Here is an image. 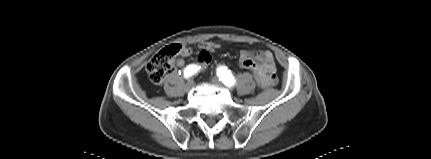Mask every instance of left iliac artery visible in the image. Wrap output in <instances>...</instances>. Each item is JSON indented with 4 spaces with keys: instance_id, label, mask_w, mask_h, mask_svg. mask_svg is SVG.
<instances>
[{
    "instance_id": "44dca946",
    "label": "left iliac artery",
    "mask_w": 431,
    "mask_h": 159,
    "mask_svg": "<svg viewBox=\"0 0 431 159\" xmlns=\"http://www.w3.org/2000/svg\"><path fill=\"white\" fill-rule=\"evenodd\" d=\"M217 76L226 86L233 87L236 83L234 76L226 66H220L217 68Z\"/></svg>"
}]
</instances>
